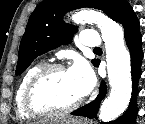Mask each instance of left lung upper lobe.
I'll return each mask as SVG.
<instances>
[{
    "label": "left lung upper lobe",
    "instance_id": "left-lung-upper-lobe-1",
    "mask_svg": "<svg viewBox=\"0 0 145 124\" xmlns=\"http://www.w3.org/2000/svg\"><path fill=\"white\" fill-rule=\"evenodd\" d=\"M90 7L102 10L118 21L131 6L126 0H44L31 14L22 37L16 75H20L39 55L71 42L77 27L65 24L62 15L70 10ZM94 66L97 60H92Z\"/></svg>",
    "mask_w": 145,
    "mask_h": 124
}]
</instances>
